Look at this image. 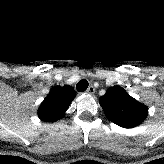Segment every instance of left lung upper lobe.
Wrapping results in <instances>:
<instances>
[{"label":"left lung upper lobe","mask_w":164,"mask_h":164,"mask_svg":"<svg viewBox=\"0 0 164 164\" xmlns=\"http://www.w3.org/2000/svg\"><path fill=\"white\" fill-rule=\"evenodd\" d=\"M99 102L107 119L124 128L140 125L148 115V108L119 86L109 88Z\"/></svg>","instance_id":"obj_1"}]
</instances>
